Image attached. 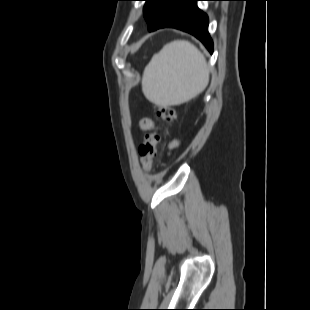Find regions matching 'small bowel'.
I'll return each instance as SVG.
<instances>
[{
	"mask_svg": "<svg viewBox=\"0 0 310 310\" xmlns=\"http://www.w3.org/2000/svg\"><path fill=\"white\" fill-rule=\"evenodd\" d=\"M150 124H151V120H150V119H144V120H142V122H141V126H142V128L145 129V130H147V129L149 128ZM176 146H178V142H177V141H174V142H172V143L169 145L170 148H175Z\"/></svg>",
	"mask_w": 310,
	"mask_h": 310,
	"instance_id": "small-bowel-1",
	"label": "small bowel"
}]
</instances>
